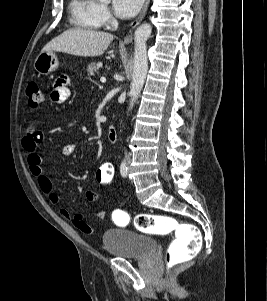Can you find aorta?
Here are the masks:
<instances>
[{
	"mask_svg": "<svg viewBox=\"0 0 267 301\" xmlns=\"http://www.w3.org/2000/svg\"><path fill=\"white\" fill-rule=\"evenodd\" d=\"M101 2H109L110 0H100ZM152 32V27L148 23L140 25L134 34V65L132 73V82L130 86V106L129 110L133 108L137 101L142 88L145 83L148 60H147V46L146 42L149 39Z\"/></svg>",
	"mask_w": 267,
	"mask_h": 301,
	"instance_id": "762f6f07",
	"label": "aorta"
}]
</instances>
